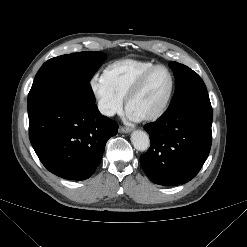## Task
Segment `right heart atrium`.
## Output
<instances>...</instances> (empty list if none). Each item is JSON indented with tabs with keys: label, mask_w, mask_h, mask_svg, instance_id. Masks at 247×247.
Instances as JSON below:
<instances>
[{
	"label": "right heart atrium",
	"mask_w": 247,
	"mask_h": 247,
	"mask_svg": "<svg viewBox=\"0 0 247 247\" xmlns=\"http://www.w3.org/2000/svg\"><path fill=\"white\" fill-rule=\"evenodd\" d=\"M90 86L95 95L98 109L104 116L111 117L122 110L123 96L113 87L105 72L93 75Z\"/></svg>",
	"instance_id": "1"
}]
</instances>
